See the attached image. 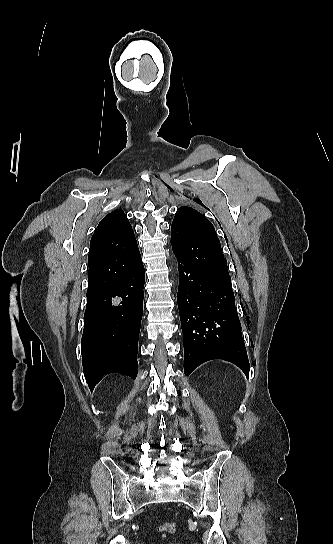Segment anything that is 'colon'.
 <instances>
[{
  "instance_id": "1",
  "label": "colon",
  "mask_w": 333,
  "mask_h": 544,
  "mask_svg": "<svg viewBox=\"0 0 333 544\" xmlns=\"http://www.w3.org/2000/svg\"><path fill=\"white\" fill-rule=\"evenodd\" d=\"M162 536L165 537L167 534H171L176 530V524L174 522H165L161 524L158 528Z\"/></svg>"
}]
</instances>
